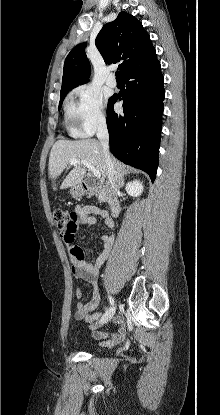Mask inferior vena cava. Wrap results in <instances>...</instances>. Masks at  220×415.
<instances>
[{"mask_svg":"<svg viewBox=\"0 0 220 415\" xmlns=\"http://www.w3.org/2000/svg\"><path fill=\"white\" fill-rule=\"evenodd\" d=\"M97 138L100 141V144L103 148V156L105 165L107 168V177L111 186L112 193L109 196V203L111 206L114 204V193L117 191L118 186L116 185V181L120 180L121 178L117 176L113 162L110 157L109 152V134L108 129L105 123H100L97 129Z\"/></svg>","mask_w":220,"mask_h":415,"instance_id":"inferior-vena-cava-1","label":"inferior vena cava"}]
</instances>
